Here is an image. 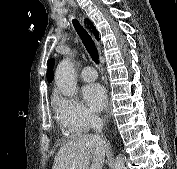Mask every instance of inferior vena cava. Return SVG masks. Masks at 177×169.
<instances>
[{
	"instance_id": "602c4592",
	"label": "inferior vena cava",
	"mask_w": 177,
	"mask_h": 169,
	"mask_svg": "<svg viewBox=\"0 0 177 169\" xmlns=\"http://www.w3.org/2000/svg\"><path fill=\"white\" fill-rule=\"evenodd\" d=\"M91 124L92 127L94 129V131L96 132V137H99V134L102 132V128H103V120L98 117V116H91Z\"/></svg>"
}]
</instances>
